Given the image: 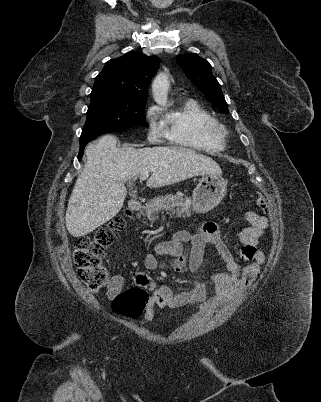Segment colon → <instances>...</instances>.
<instances>
[{
	"mask_svg": "<svg viewBox=\"0 0 321 402\" xmlns=\"http://www.w3.org/2000/svg\"><path fill=\"white\" fill-rule=\"evenodd\" d=\"M256 204L263 210L268 207L263 196H257ZM124 228L122 217H115L106 227L100 229L94 237L77 238L74 244V264L80 280L91 291L105 287L109 279L108 269L102 263L106 249L111 245L114 235ZM149 301L148 292L140 286L126 289L113 300L116 314L131 320H137L145 311Z\"/></svg>",
	"mask_w": 321,
	"mask_h": 402,
	"instance_id": "obj_1",
	"label": "colon"
}]
</instances>
